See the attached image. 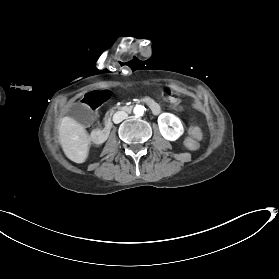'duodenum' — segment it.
Listing matches in <instances>:
<instances>
[{"mask_svg": "<svg viewBox=\"0 0 279 279\" xmlns=\"http://www.w3.org/2000/svg\"><path fill=\"white\" fill-rule=\"evenodd\" d=\"M147 103L148 106H151L152 111L160 112V104L156 103L155 100H152L150 96H144L140 99V104ZM120 111H132V106H120ZM113 129V115H107V124L102 130L100 127H93L90 130V137L93 142L101 144L102 140H106L107 132H111Z\"/></svg>", "mask_w": 279, "mask_h": 279, "instance_id": "duodenum-1", "label": "duodenum"}]
</instances>
